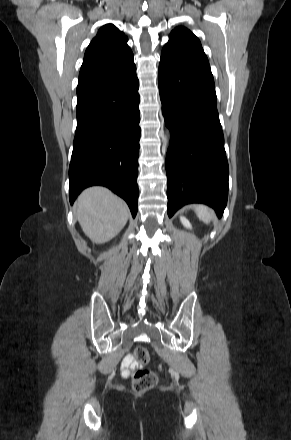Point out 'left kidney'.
Returning a JSON list of instances; mask_svg holds the SVG:
<instances>
[{"mask_svg":"<svg viewBox=\"0 0 291 440\" xmlns=\"http://www.w3.org/2000/svg\"><path fill=\"white\" fill-rule=\"evenodd\" d=\"M181 223L183 224L184 227L191 229L192 226L190 224V222L188 221V219H186L185 217L181 216L180 217Z\"/></svg>","mask_w":291,"mask_h":440,"instance_id":"5707ae66","label":"left kidney"}]
</instances>
